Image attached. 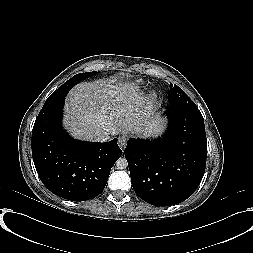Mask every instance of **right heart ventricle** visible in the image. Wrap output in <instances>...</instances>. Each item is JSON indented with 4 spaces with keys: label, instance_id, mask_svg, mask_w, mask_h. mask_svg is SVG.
I'll return each mask as SVG.
<instances>
[{
    "label": "right heart ventricle",
    "instance_id": "obj_1",
    "mask_svg": "<svg viewBox=\"0 0 253 253\" xmlns=\"http://www.w3.org/2000/svg\"><path fill=\"white\" fill-rule=\"evenodd\" d=\"M142 85V81H135L134 83L131 84V89H137Z\"/></svg>",
    "mask_w": 253,
    "mask_h": 253
}]
</instances>
